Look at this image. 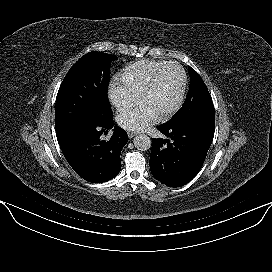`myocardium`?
I'll use <instances>...</instances> for the list:
<instances>
[{
  "label": "myocardium",
  "instance_id": "myocardium-1",
  "mask_svg": "<svg viewBox=\"0 0 272 272\" xmlns=\"http://www.w3.org/2000/svg\"><path fill=\"white\" fill-rule=\"evenodd\" d=\"M174 66L176 68H178L182 74V86H181V90H180V94L179 97L176 101V103L174 104L173 107H171L169 110H167L166 112L162 113L159 116L160 120H166L170 117H172L177 111H179V109L181 108L184 99H185V95H186V90H187V74L184 70V68L176 63V62H168L167 64H165L163 67H161L155 74L154 76L151 78V80L146 84V86L142 89V91L140 92V101L143 100V98L154 89V87L157 85L160 77L162 76V74L165 72L166 69H168L169 67Z\"/></svg>",
  "mask_w": 272,
  "mask_h": 272
}]
</instances>
